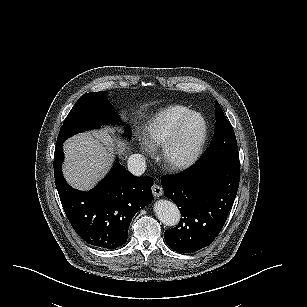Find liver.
I'll return each instance as SVG.
<instances>
[{
    "label": "liver",
    "instance_id": "1",
    "mask_svg": "<svg viewBox=\"0 0 307 307\" xmlns=\"http://www.w3.org/2000/svg\"><path fill=\"white\" fill-rule=\"evenodd\" d=\"M145 112L138 109L130 115V126L138 129ZM101 126L72 135L63 142L61 171L65 182L81 192H90L110 173L117 159L131 154V143L120 131Z\"/></svg>",
    "mask_w": 307,
    "mask_h": 307
}]
</instances>
